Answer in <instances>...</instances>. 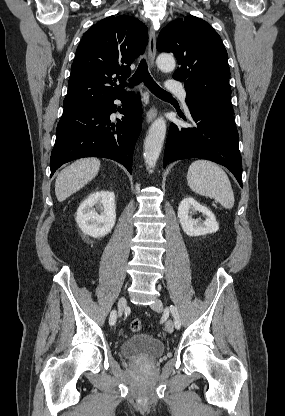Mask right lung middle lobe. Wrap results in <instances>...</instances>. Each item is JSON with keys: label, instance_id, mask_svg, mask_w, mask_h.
<instances>
[{"label": "right lung middle lobe", "instance_id": "1", "mask_svg": "<svg viewBox=\"0 0 285 416\" xmlns=\"http://www.w3.org/2000/svg\"><path fill=\"white\" fill-rule=\"evenodd\" d=\"M89 107L88 105H64V111Z\"/></svg>", "mask_w": 285, "mask_h": 416}]
</instances>
